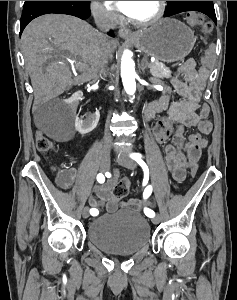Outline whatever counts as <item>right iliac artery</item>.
Instances as JSON below:
<instances>
[{"label":"right iliac artery","mask_w":237,"mask_h":300,"mask_svg":"<svg viewBox=\"0 0 237 300\" xmlns=\"http://www.w3.org/2000/svg\"><path fill=\"white\" fill-rule=\"evenodd\" d=\"M97 181H98L99 183H104V182H105V177H104V175H103L102 173H99V174L97 175ZM90 213L97 214V213H98V210L95 209V208H92V209H90Z\"/></svg>","instance_id":"obj_1"}]
</instances>
